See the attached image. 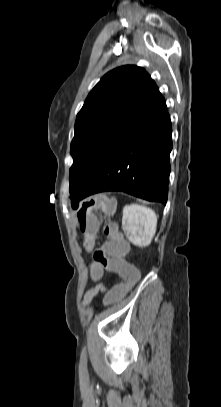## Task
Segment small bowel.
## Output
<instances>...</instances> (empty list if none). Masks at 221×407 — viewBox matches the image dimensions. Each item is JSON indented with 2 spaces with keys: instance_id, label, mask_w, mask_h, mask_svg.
<instances>
[{
  "instance_id": "c3829d8e",
  "label": "small bowel",
  "mask_w": 221,
  "mask_h": 407,
  "mask_svg": "<svg viewBox=\"0 0 221 407\" xmlns=\"http://www.w3.org/2000/svg\"><path fill=\"white\" fill-rule=\"evenodd\" d=\"M104 287L102 285H97L94 288L89 289L85 296H84V305L89 306L95 301V297L98 294V292L103 291Z\"/></svg>"
}]
</instances>
